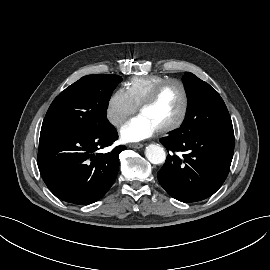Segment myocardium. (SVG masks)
<instances>
[{"mask_svg":"<svg viewBox=\"0 0 270 270\" xmlns=\"http://www.w3.org/2000/svg\"><path fill=\"white\" fill-rule=\"evenodd\" d=\"M170 84H175L180 87L182 96H183V107H182V111L179 118L174 123L158 129V132L162 134L170 133V132L178 130L180 127H182V125L185 123L187 119L190 100H189V94H188L185 84L178 79L165 80L159 83L158 85H156L153 88V90L150 92V94L146 97V99L139 106V112L141 113L145 108H148L149 106H151L157 100L161 91Z\"/></svg>","mask_w":270,"mask_h":270,"instance_id":"f54148a6","label":"myocardium"}]
</instances>
